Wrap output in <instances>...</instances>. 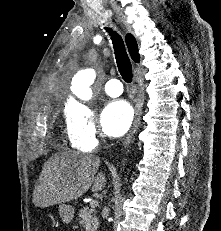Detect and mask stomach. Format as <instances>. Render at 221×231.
<instances>
[{"label":"stomach","instance_id":"obj_1","mask_svg":"<svg viewBox=\"0 0 221 231\" xmlns=\"http://www.w3.org/2000/svg\"><path fill=\"white\" fill-rule=\"evenodd\" d=\"M58 210L63 222L70 223L73 220L74 208L71 205L60 204Z\"/></svg>","mask_w":221,"mask_h":231}]
</instances>
